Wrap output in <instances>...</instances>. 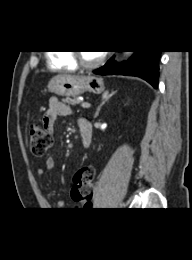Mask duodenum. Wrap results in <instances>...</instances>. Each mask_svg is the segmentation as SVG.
<instances>
[{
    "mask_svg": "<svg viewBox=\"0 0 192 260\" xmlns=\"http://www.w3.org/2000/svg\"><path fill=\"white\" fill-rule=\"evenodd\" d=\"M82 144L85 148L89 147L92 140V124L89 120L81 118L78 122Z\"/></svg>",
    "mask_w": 192,
    "mask_h": 260,
    "instance_id": "1",
    "label": "duodenum"
}]
</instances>
